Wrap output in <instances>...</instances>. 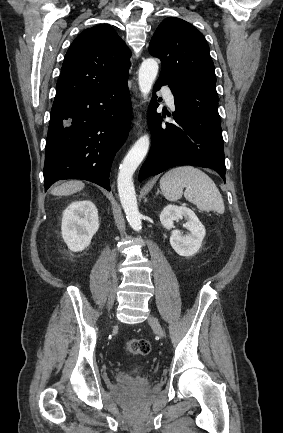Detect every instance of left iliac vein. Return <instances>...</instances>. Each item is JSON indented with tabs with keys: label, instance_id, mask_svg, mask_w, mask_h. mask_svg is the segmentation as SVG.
Segmentation results:
<instances>
[{
	"label": "left iliac vein",
	"instance_id": "left-iliac-vein-1",
	"mask_svg": "<svg viewBox=\"0 0 283 433\" xmlns=\"http://www.w3.org/2000/svg\"><path fill=\"white\" fill-rule=\"evenodd\" d=\"M148 322L157 335H159L160 337H164V331L155 317L149 316Z\"/></svg>",
	"mask_w": 283,
	"mask_h": 433
}]
</instances>
